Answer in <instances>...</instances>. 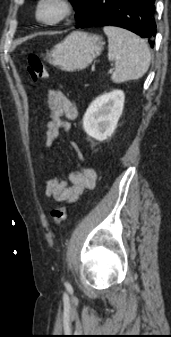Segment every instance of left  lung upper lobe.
Listing matches in <instances>:
<instances>
[{
	"label": "left lung upper lobe",
	"instance_id": "1",
	"mask_svg": "<svg viewBox=\"0 0 171 337\" xmlns=\"http://www.w3.org/2000/svg\"><path fill=\"white\" fill-rule=\"evenodd\" d=\"M87 1L88 0H70V2L72 3V5L74 6V8L76 10V15H75L76 21L78 20V18L82 14Z\"/></svg>",
	"mask_w": 171,
	"mask_h": 337
}]
</instances>
